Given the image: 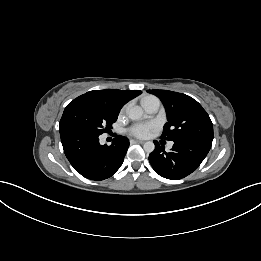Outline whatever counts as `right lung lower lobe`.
<instances>
[{"instance_id":"1","label":"right lung lower lobe","mask_w":261,"mask_h":261,"mask_svg":"<svg viewBox=\"0 0 261 261\" xmlns=\"http://www.w3.org/2000/svg\"><path fill=\"white\" fill-rule=\"evenodd\" d=\"M64 153L74 169L90 180H104L121 167L129 141L116 136L110 146L100 145L99 135L86 130H60Z\"/></svg>"}]
</instances>
